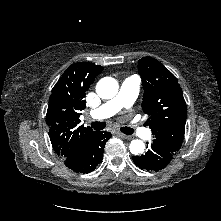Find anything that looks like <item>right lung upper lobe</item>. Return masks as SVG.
Here are the masks:
<instances>
[{"mask_svg":"<svg viewBox=\"0 0 221 221\" xmlns=\"http://www.w3.org/2000/svg\"><path fill=\"white\" fill-rule=\"evenodd\" d=\"M103 68L80 62L69 66L62 74L49 98L46 124L54 151L63 159L82 154L96 132L80 125L86 91Z\"/></svg>","mask_w":221,"mask_h":221,"instance_id":"obj_1","label":"right lung upper lobe"}]
</instances>
